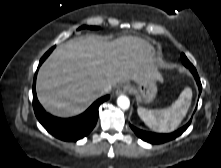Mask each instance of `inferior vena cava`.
Here are the masks:
<instances>
[{
	"instance_id": "602c4592",
	"label": "inferior vena cava",
	"mask_w": 221,
	"mask_h": 168,
	"mask_svg": "<svg viewBox=\"0 0 221 168\" xmlns=\"http://www.w3.org/2000/svg\"><path fill=\"white\" fill-rule=\"evenodd\" d=\"M111 91V86L105 87L101 90V94H106L109 93Z\"/></svg>"
}]
</instances>
